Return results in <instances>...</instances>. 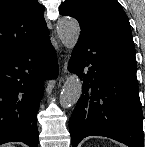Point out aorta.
<instances>
[{"mask_svg":"<svg viewBox=\"0 0 145 147\" xmlns=\"http://www.w3.org/2000/svg\"><path fill=\"white\" fill-rule=\"evenodd\" d=\"M80 26L77 20L71 17H63L58 20L57 32L62 44L70 51L76 46L80 36ZM82 94V82L80 78L71 74L63 85L60 94V105L63 108L74 106Z\"/></svg>","mask_w":145,"mask_h":147,"instance_id":"obj_1","label":"aorta"}]
</instances>
